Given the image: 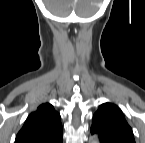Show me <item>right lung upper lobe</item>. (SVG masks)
<instances>
[{"label":"right lung upper lobe","instance_id":"cb5924a9","mask_svg":"<svg viewBox=\"0 0 145 143\" xmlns=\"http://www.w3.org/2000/svg\"><path fill=\"white\" fill-rule=\"evenodd\" d=\"M15 143H62L59 113L49 103L40 105L26 119Z\"/></svg>","mask_w":145,"mask_h":143}]
</instances>
